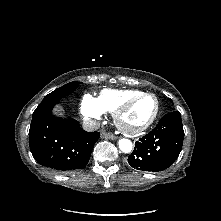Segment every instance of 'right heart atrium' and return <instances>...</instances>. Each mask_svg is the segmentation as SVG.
I'll return each mask as SVG.
<instances>
[{
	"mask_svg": "<svg viewBox=\"0 0 221 221\" xmlns=\"http://www.w3.org/2000/svg\"><path fill=\"white\" fill-rule=\"evenodd\" d=\"M80 111L83 117L90 122L98 121L104 113L99 107L96 98L90 94H85L83 96Z\"/></svg>",
	"mask_w": 221,
	"mask_h": 221,
	"instance_id": "1",
	"label": "right heart atrium"
}]
</instances>
